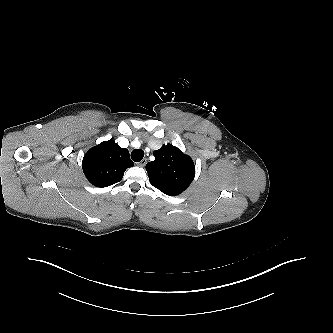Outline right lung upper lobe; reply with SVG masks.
Masks as SVG:
<instances>
[{
  "label": "right lung upper lobe",
  "instance_id": "1",
  "mask_svg": "<svg viewBox=\"0 0 333 333\" xmlns=\"http://www.w3.org/2000/svg\"><path fill=\"white\" fill-rule=\"evenodd\" d=\"M134 166L129 151L114 140L91 148L85 154L82 168L86 178L96 187H106L119 182L127 168Z\"/></svg>",
  "mask_w": 333,
  "mask_h": 333
}]
</instances>
